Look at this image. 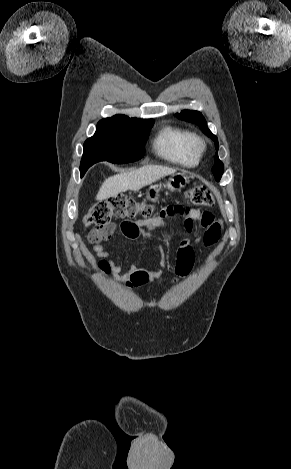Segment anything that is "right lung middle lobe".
I'll return each mask as SVG.
<instances>
[{
	"instance_id": "right-lung-middle-lobe-1",
	"label": "right lung middle lobe",
	"mask_w": 291,
	"mask_h": 469,
	"mask_svg": "<svg viewBox=\"0 0 291 469\" xmlns=\"http://www.w3.org/2000/svg\"><path fill=\"white\" fill-rule=\"evenodd\" d=\"M154 121L150 120H101L97 130L84 143L80 164L81 176L99 161L129 163L144 156V143Z\"/></svg>"
}]
</instances>
